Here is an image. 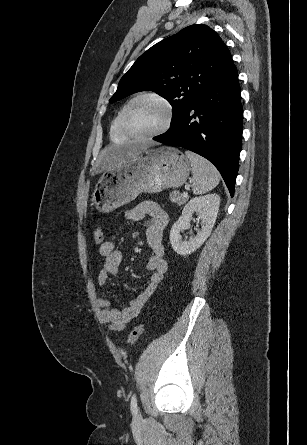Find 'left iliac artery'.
<instances>
[{"instance_id":"obj_1","label":"left iliac artery","mask_w":307,"mask_h":445,"mask_svg":"<svg viewBox=\"0 0 307 445\" xmlns=\"http://www.w3.org/2000/svg\"><path fill=\"white\" fill-rule=\"evenodd\" d=\"M130 407H131L132 414L136 416L138 413V407H137V398H136L135 394H133V396L131 398Z\"/></svg>"}]
</instances>
